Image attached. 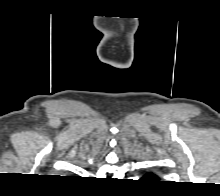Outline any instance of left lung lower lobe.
<instances>
[{
    "label": "left lung lower lobe",
    "instance_id": "0a47b994",
    "mask_svg": "<svg viewBox=\"0 0 220 196\" xmlns=\"http://www.w3.org/2000/svg\"><path fill=\"white\" fill-rule=\"evenodd\" d=\"M156 179H157L156 176L152 173H148L142 178V180L146 182H154Z\"/></svg>",
    "mask_w": 220,
    "mask_h": 196
}]
</instances>
